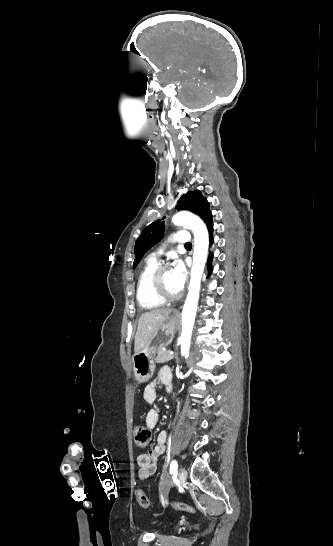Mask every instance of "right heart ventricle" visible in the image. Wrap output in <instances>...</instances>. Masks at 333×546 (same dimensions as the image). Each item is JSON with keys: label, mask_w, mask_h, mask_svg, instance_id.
Listing matches in <instances>:
<instances>
[{"label": "right heart ventricle", "mask_w": 333, "mask_h": 546, "mask_svg": "<svg viewBox=\"0 0 333 546\" xmlns=\"http://www.w3.org/2000/svg\"><path fill=\"white\" fill-rule=\"evenodd\" d=\"M158 267L159 264L156 260L148 259L140 272L137 282L136 298L139 306L143 309H155L165 303L164 301L156 298L151 289V279Z\"/></svg>", "instance_id": "e07e8e85"}]
</instances>
